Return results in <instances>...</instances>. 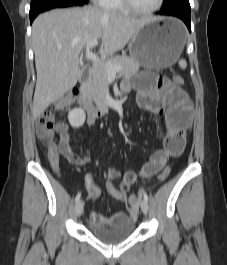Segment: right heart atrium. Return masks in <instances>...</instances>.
<instances>
[{"instance_id": "obj_1", "label": "right heart atrium", "mask_w": 227, "mask_h": 265, "mask_svg": "<svg viewBox=\"0 0 227 265\" xmlns=\"http://www.w3.org/2000/svg\"><path fill=\"white\" fill-rule=\"evenodd\" d=\"M94 3H96L97 5L103 6L106 4L107 0H92Z\"/></svg>"}]
</instances>
